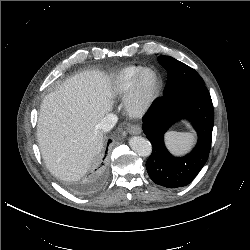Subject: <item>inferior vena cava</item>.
I'll return each mask as SVG.
<instances>
[{
    "label": "inferior vena cava",
    "mask_w": 250,
    "mask_h": 250,
    "mask_svg": "<svg viewBox=\"0 0 250 250\" xmlns=\"http://www.w3.org/2000/svg\"><path fill=\"white\" fill-rule=\"evenodd\" d=\"M117 120L118 118L115 114H108L101 120V122L98 124V127L102 131L108 132L116 125Z\"/></svg>",
    "instance_id": "inferior-vena-cava-1"
}]
</instances>
